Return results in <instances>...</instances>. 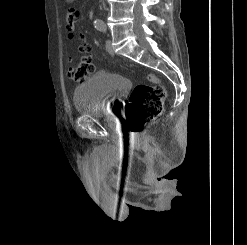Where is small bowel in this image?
<instances>
[{
	"label": "small bowel",
	"mask_w": 247,
	"mask_h": 245,
	"mask_svg": "<svg viewBox=\"0 0 247 245\" xmlns=\"http://www.w3.org/2000/svg\"><path fill=\"white\" fill-rule=\"evenodd\" d=\"M76 12L73 8H69L67 11V27L69 31V38L72 39L74 37V28L76 24Z\"/></svg>",
	"instance_id": "obj_1"
}]
</instances>
